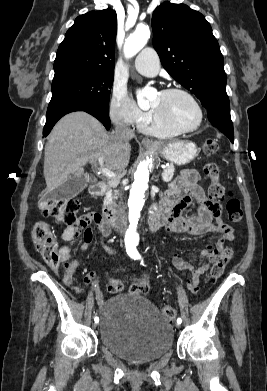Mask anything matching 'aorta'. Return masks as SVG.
I'll return each mask as SVG.
<instances>
[{
    "mask_svg": "<svg viewBox=\"0 0 267 391\" xmlns=\"http://www.w3.org/2000/svg\"><path fill=\"white\" fill-rule=\"evenodd\" d=\"M150 38V29L147 25L140 24L135 31L131 33L125 40L124 55L127 59L134 57L147 43ZM148 92L146 89L136 91L137 102L142 105L146 102ZM152 165V157H146L142 160L134 173V181L130 190L128 199L129 207V226L126 232L127 248L131 252L136 251V246L139 241L137 232L140 219V212L145 204L148 192V183L150 176V166Z\"/></svg>",
    "mask_w": 267,
    "mask_h": 391,
    "instance_id": "1",
    "label": "aorta"
}]
</instances>
